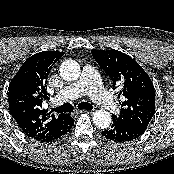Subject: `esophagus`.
I'll return each mask as SVG.
<instances>
[{
  "label": "esophagus",
  "instance_id": "esophagus-1",
  "mask_svg": "<svg viewBox=\"0 0 174 174\" xmlns=\"http://www.w3.org/2000/svg\"><path fill=\"white\" fill-rule=\"evenodd\" d=\"M80 113L91 114L94 110H79Z\"/></svg>",
  "mask_w": 174,
  "mask_h": 174
}]
</instances>
